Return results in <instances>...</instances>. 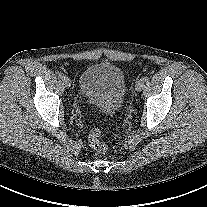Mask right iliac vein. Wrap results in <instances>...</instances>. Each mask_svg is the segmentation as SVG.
<instances>
[{
	"instance_id": "right-iliac-vein-1",
	"label": "right iliac vein",
	"mask_w": 207,
	"mask_h": 207,
	"mask_svg": "<svg viewBox=\"0 0 207 207\" xmlns=\"http://www.w3.org/2000/svg\"><path fill=\"white\" fill-rule=\"evenodd\" d=\"M62 81H63L64 86L67 88H69L72 84L70 78L66 76L62 79Z\"/></svg>"
}]
</instances>
